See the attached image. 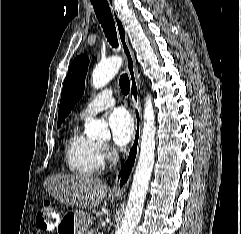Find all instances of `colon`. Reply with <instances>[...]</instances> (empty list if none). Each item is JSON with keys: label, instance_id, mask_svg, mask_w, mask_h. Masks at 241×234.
Returning a JSON list of instances; mask_svg holds the SVG:
<instances>
[{"label": "colon", "instance_id": "colon-1", "mask_svg": "<svg viewBox=\"0 0 241 234\" xmlns=\"http://www.w3.org/2000/svg\"><path fill=\"white\" fill-rule=\"evenodd\" d=\"M37 227L42 232L52 231L57 228L59 219L51 203L47 202L37 215Z\"/></svg>", "mask_w": 241, "mask_h": 234}]
</instances>
